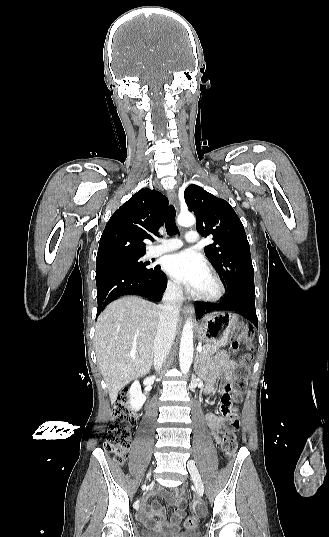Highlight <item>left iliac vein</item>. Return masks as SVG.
Returning a JSON list of instances; mask_svg holds the SVG:
<instances>
[{
	"instance_id": "4c4485c4",
	"label": "left iliac vein",
	"mask_w": 329,
	"mask_h": 537,
	"mask_svg": "<svg viewBox=\"0 0 329 537\" xmlns=\"http://www.w3.org/2000/svg\"><path fill=\"white\" fill-rule=\"evenodd\" d=\"M187 467H188V470L190 472L191 478H192V480L194 482L196 491L199 494H203L204 486H203L199 471H198L197 467L195 466V463L192 460H190L188 462V464H187Z\"/></svg>"
}]
</instances>
